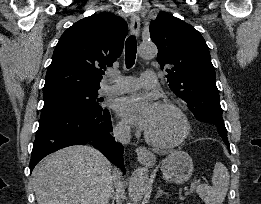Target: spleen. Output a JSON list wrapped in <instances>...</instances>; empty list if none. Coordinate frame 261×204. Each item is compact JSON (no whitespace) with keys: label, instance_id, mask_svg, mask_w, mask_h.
Instances as JSON below:
<instances>
[{"label":"spleen","instance_id":"obj_1","mask_svg":"<svg viewBox=\"0 0 261 204\" xmlns=\"http://www.w3.org/2000/svg\"><path fill=\"white\" fill-rule=\"evenodd\" d=\"M228 169L221 162H216L212 174V186L200 184L196 187L199 197L205 204H222L229 187Z\"/></svg>","mask_w":261,"mask_h":204}]
</instances>
